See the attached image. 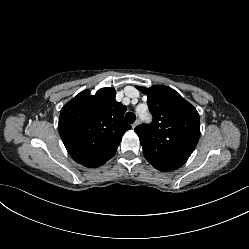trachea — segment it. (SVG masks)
<instances>
[{
  "mask_svg": "<svg viewBox=\"0 0 249 249\" xmlns=\"http://www.w3.org/2000/svg\"><path fill=\"white\" fill-rule=\"evenodd\" d=\"M135 119H136V116H135L134 113H132V112H127V113H126V115H125V120H126L128 123L132 124V123L135 121Z\"/></svg>",
  "mask_w": 249,
  "mask_h": 249,
  "instance_id": "3493384b",
  "label": "trachea"
}]
</instances>
